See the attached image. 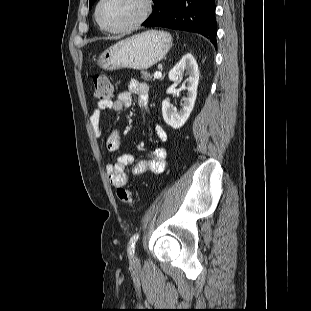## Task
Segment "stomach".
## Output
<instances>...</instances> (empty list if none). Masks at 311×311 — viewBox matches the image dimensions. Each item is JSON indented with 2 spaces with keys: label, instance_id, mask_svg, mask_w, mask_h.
I'll return each instance as SVG.
<instances>
[{
  "label": "stomach",
  "instance_id": "stomach-1",
  "mask_svg": "<svg viewBox=\"0 0 311 311\" xmlns=\"http://www.w3.org/2000/svg\"><path fill=\"white\" fill-rule=\"evenodd\" d=\"M171 46L169 33L148 30L110 46L99 56L97 64L109 71L122 68L146 70L161 61Z\"/></svg>",
  "mask_w": 311,
  "mask_h": 311
}]
</instances>
